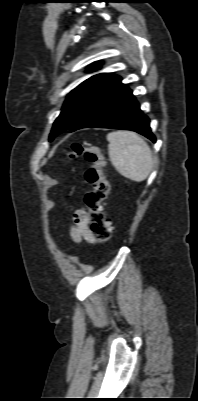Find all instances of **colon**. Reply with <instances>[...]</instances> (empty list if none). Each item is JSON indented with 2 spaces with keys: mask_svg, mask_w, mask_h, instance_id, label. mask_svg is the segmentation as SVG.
Masks as SVG:
<instances>
[{
  "mask_svg": "<svg viewBox=\"0 0 198 401\" xmlns=\"http://www.w3.org/2000/svg\"><path fill=\"white\" fill-rule=\"evenodd\" d=\"M70 156L83 157L89 163L85 171V180L91 186V190L85 196V204L93 233L99 242L106 243L112 235L111 223L105 213L110 184L104 173L101 150L96 145L73 143Z\"/></svg>",
  "mask_w": 198,
  "mask_h": 401,
  "instance_id": "colon-1",
  "label": "colon"
}]
</instances>
